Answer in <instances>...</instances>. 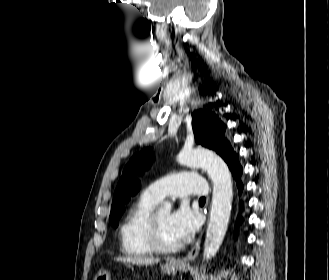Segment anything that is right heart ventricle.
Returning <instances> with one entry per match:
<instances>
[{
	"instance_id": "right-heart-ventricle-1",
	"label": "right heart ventricle",
	"mask_w": 329,
	"mask_h": 280,
	"mask_svg": "<svg viewBox=\"0 0 329 280\" xmlns=\"http://www.w3.org/2000/svg\"><path fill=\"white\" fill-rule=\"evenodd\" d=\"M158 201L144 192L128 210L119 229L121 250L124 254L142 257L152 253L145 228L147 219Z\"/></svg>"
}]
</instances>
